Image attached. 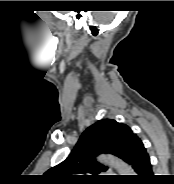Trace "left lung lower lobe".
<instances>
[{
  "label": "left lung lower lobe",
  "instance_id": "left-lung-lower-lobe-1",
  "mask_svg": "<svg viewBox=\"0 0 174 184\" xmlns=\"http://www.w3.org/2000/svg\"><path fill=\"white\" fill-rule=\"evenodd\" d=\"M127 163L132 166L137 174L131 178L135 183H147L152 178L153 174L149 155L141 140L132 149Z\"/></svg>",
  "mask_w": 174,
  "mask_h": 184
}]
</instances>
